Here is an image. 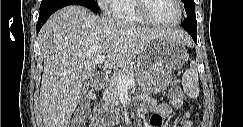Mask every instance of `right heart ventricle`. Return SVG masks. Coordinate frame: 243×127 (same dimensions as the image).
<instances>
[{"label":"right heart ventricle","mask_w":243,"mask_h":127,"mask_svg":"<svg viewBox=\"0 0 243 127\" xmlns=\"http://www.w3.org/2000/svg\"><path fill=\"white\" fill-rule=\"evenodd\" d=\"M110 12L115 20L120 22L150 25L138 12L137 0H111Z\"/></svg>","instance_id":"right-heart-ventricle-1"}]
</instances>
